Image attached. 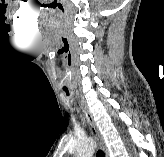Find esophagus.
<instances>
[{
	"mask_svg": "<svg viewBox=\"0 0 164 157\" xmlns=\"http://www.w3.org/2000/svg\"><path fill=\"white\" fill-rule=\"evenodd\" d=\"M77 96L79 97L78 94H77ZM79 105H80L83 115L89 125L91 133L93 134L94 138L98 141L101 149L104 151L105 157H109V151H108V148L104 141V138H103L102 134L100 133L95 121L93 120V117H92L87 105L85 104V102L83 100H79Z\"/></svg>",
	"mask_w": 164,
	"mask_h": 157,
	"instance_id": "34e87169",
	"label": "esophagus"
}]
</instances>
